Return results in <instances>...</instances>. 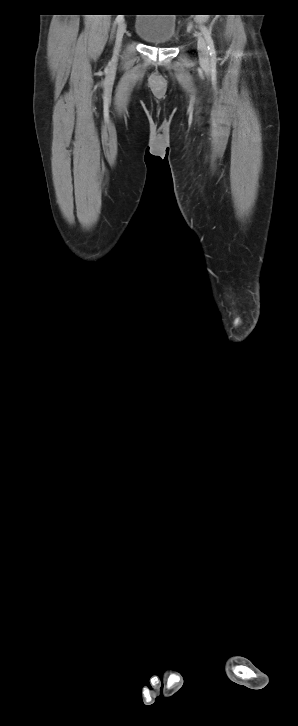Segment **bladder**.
Listing matches in <instances>:
<instances>
[{
    "instance_id": "31cf9c89",
    "label": "bladder",
    "mask_w": 298,
    "mask_h": 726,
    "mask_svg": "<svg viewBox=\"0 0 298 726\" xmlns=\"http://www.w3.org/2000/svg\"><path fill=\"white\" fill-rule=\"evenodd\" d=\"M135 34L153 46H168L175 39L176 19L171 14H140Z\"/></svg>"
}]
</instances>
